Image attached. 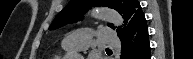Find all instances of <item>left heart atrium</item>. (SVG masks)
Masks as SVG:
<instances>
[{
    "instance_id": "left-heart-atrium-1",
    "label": "left heart atrium",
    "mask_w": 193,
    "mask_h": 59,
    "mask_svg": "<svg viewBox=\"0 0 193 59\" xmlns=\"http://www.w3.org/2000/svg\"><path fill=\"white\" fill-rule=\"evenodd\" d=\"M88 59H98V57H97V55L92 54V55H90V56H89V58H88Z\"/></svg>"
}]
</instances>
